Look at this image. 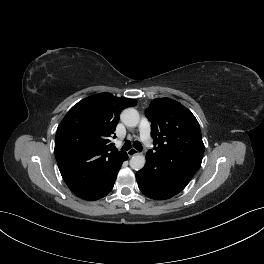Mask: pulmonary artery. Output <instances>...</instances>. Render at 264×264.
<instances>
[{
    "label": "pulmonary artery",
    "mask_w": 264,
    "mask_h": 264,
    "mask_svg": "<svg viewBox=\"0 0 264 264\" xmlns=\"http://www.w3.org/2000/svg\"><path fill=\"white\" fill-rule=\"evenodd\" d=\"M139 132H140V137L144 144L147 147L152 146V141H151V136H150V125L148 122V119L146 117H142L139 123Z\"/></svg>",
    "instance_id": "1"
}]
</instances>
